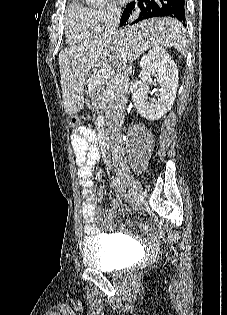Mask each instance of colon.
<instances>
[{"label":"colon","mask_w":227,"mask_h":315,"mask_svg":"<svg viewBox=\"0 0 227 315\" xmlns=\"http://www.w3.org/2000/svg\"><path fill=\"white\" fill-rule=\"evenodd\" d=\"M69 124L70 126L76 128V129H79L81 127V119L79 116H72L70 119H69Z\"/></svg>","instance_id":"colon-1"}]
</instances>
